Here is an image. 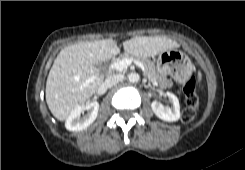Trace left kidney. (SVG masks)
Returning <instances> with one entry per match:
<instances>
[{
	"instance_id": "left-kidney-1",
	"label": "left kidney",
	"mask_w": 245,
	"mask_h": 170,
	"mask_svg": "<svg viewBox=\"0 0 245 170\" xmlns=\"http://www.w3.org/2000/svg\"><path fill=\"white\" fill-rule=\"evenodd\" d=\"M167 97L172 102V106H164L157 101H153L151 104L152 111L154 114L167 122H174L180 118V104L178 98L171 92H166Z\"/></svg>"
}]
</instances>
